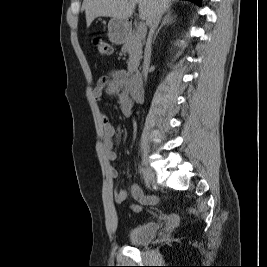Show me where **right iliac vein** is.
<instances>
[{"label":"right iliac vein","mask_w":267,"mask_h":267,"mask_svg":"<svg viewBox=\"0 0 267 267\" xmlns=\"http://www.w3.org/2000/svg\"><path fill=\"white\" fill-rule=\"evenodd\" d=\"M144 171H145V174L147 175V177L150 179V181L155 183L156 177H155V173L152 171V169H150L149 167H145Z\"/></svg>","instance_id":"obj_1"}]
</instances>
